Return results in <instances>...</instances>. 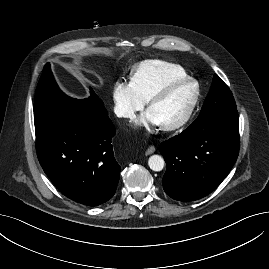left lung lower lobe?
Listing matches in <instances>:
<instances>
[{"instance_id":"1","label":"left lung lower lobe","mask_w":269,"mask_h":269,"mask_svg":"<svg viewBox=\"0 0 269 269\" xmlns=\"http://www.w3.org/2000/svg\"><path fill=\"white\" fill-rule=\"evenodd\" d=\"M237 110L202 115L159 150L167 164L162 183L178 201H194L211 193L228 175L239 153Z\"/></svg>"}]
</instances>
